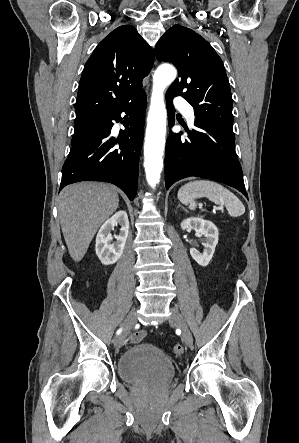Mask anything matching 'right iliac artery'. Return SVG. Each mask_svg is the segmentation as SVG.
<instances>
[{
    "mask_svg": "<svg viewBox=\"0 0 299 443\" xmlns=\"http://www.w3.org/2000/svg\"><path fill=\"white\" fill-rule=\"evenodd\" d=\"M121 331H122V328H120V329L117 331V335L120 334Z\"/></svg>",
    "mask_w": 299,
    "mask_h": 443,
    "instance_id": "1",
    "label": "right iliac artery"
}]
</instances>
